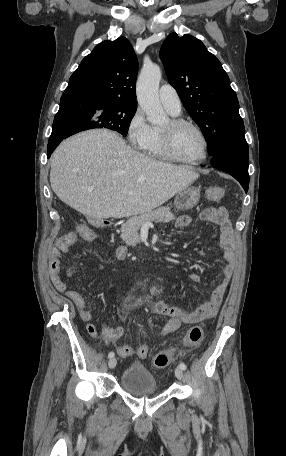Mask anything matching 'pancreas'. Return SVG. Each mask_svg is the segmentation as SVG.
<instances>
[{"instance_id": "1", "label": "pancreas", "mask_w": 286, "mask_h": 456, "mask_svg": "<svg viewBox=\"0 0 286 456\" xmlns=\"http://www.w3.org/2000/svg\"><path fill=\"white\" fill-rule=\"evenodd\" d=\"M175 219L169 207H160L138 216L130 218L124 223L121 230V239L129 246H135L141 241L138 230L146 222H170Z\"/></svg>"}]
</instances>
